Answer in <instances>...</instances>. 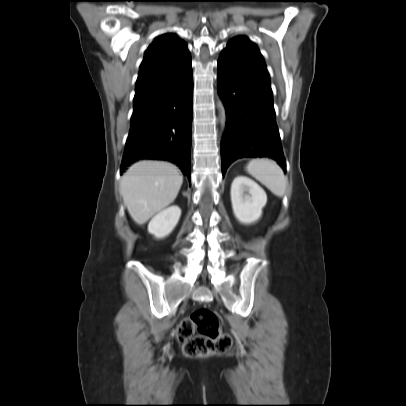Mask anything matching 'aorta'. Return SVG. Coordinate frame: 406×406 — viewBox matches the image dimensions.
Segmentation results:
<instances>
[{
  "instance_id": "762f6f07",
  "label": "aorta",
  "mask_w": 406,
  "mask_h": 406,
  "mask_svg": "<svg viewBox=\"0 0 406 406\" xmlns=\"http://www.w3.org/2000/svg\"><path fill=\"white\" fill-rule=\"evenodd\" d=\"M220 110H221V114H222V118L225 117V111H224V107L222 104H220Z\"/></svg>"
}]
</instances>
